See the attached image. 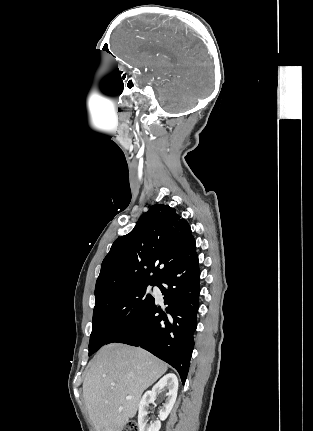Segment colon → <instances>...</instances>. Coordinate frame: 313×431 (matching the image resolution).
Listing matches in <instances>:
<instances>
[{"instance_id": "1", "label": "colon", "mask_w": 313, "mask_h": 431, "mask_svg": "<svg viewBox=\"0 0 313 431\" xmlns=\"http://www.w3.org/2000/svg\"><path fill=\"white\" fill-rule=\"evenodd\" d=\"M123 431H139V429H138V425H137V423H136L135 421H133V420L128 421V422L125 424V426H124V428H123Z\"/></svg>"}]
</instances>
